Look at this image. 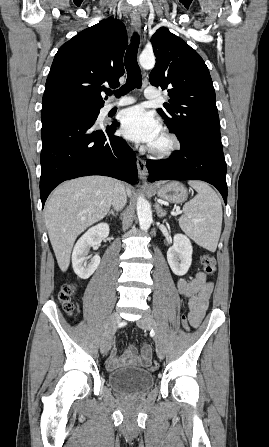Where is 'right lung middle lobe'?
Masks as SVG:
<instances>
[{
    "label": "right lung middle lobe",
    "instance_id": "dd1d6c3e",
    "mask_svg": "<svg viewBox=\"0 0 269 447\" xmlns=\"http://www.w3.org/2000/svg\"><path fill=\"white\" fill-rule=\"evenodd\" d=\"M102 106H103L102 104L82 103L76 105V109L80 113H90V112L98 113Z\"/></svg>",
    "mask_w": 269,
    "mask_h": 447
}]
</instances>
